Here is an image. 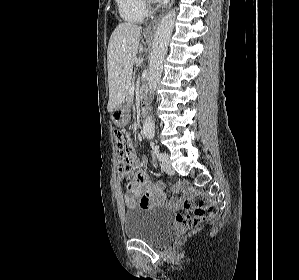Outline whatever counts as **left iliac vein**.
<instances>
[{"mask_svg":"<svg viewBox=\"0 0 299 280\" xmlns=\"http://www.w3.org/2000/svg\"><path fill=\"white\" fill-rule=\"evenodd\" d=\"M161 168L164 172H166L169 175L174 174V169L171 166L170 160L168 158V155H166V158L161 161Z\"/></svg>","mask_w":299,"mask_h":280,"instance_id":"1","label":"left iliac vein"}]
</instances>
